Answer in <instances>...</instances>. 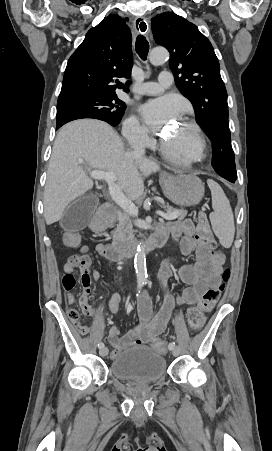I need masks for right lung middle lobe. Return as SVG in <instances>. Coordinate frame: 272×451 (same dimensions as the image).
<instances>
[{
  "mask_svg": "<svg viewBox=\"0 0 272 451\" xmlns=\"http://www.w3.org/2000/svg\"><path fill=\"white\" fill-rule=\"evenodd\" d=\"M125 104L116 95H89L61 99L57 102L56 125L69 121L94 118L116 126L125 111Z\"/></svg>",
  "mask_w": 272,
  "mask_h": 451,
  "instance_id": "obj_1",
  "label": "right lung middle lobe"
}]
</instances>
